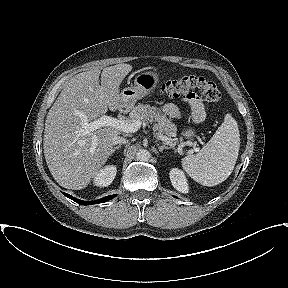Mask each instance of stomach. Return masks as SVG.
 I'll use <instances>...</instances> for the list:
<instances>
[{
	"label": "stomach",
	"mask_w": 288,
	"mask_h": 288,
	"mask_svg": "<svg viewBox=\"0 0 288 288\" xmlns=\"http://www.w3.org/2000/svg\"><path fill=\"white\" fill-rule=\"evenodd\" d=\"M159 81V75L154 71H142L135 76L134 85L124 88L120 93L122 109L129 111L135 103L149 95L155 89ZM187 138L195 135L193 129L189 128L183 132Z\"/></svg>",
	"instance_id": "stomach-1"
}]
</instances>
